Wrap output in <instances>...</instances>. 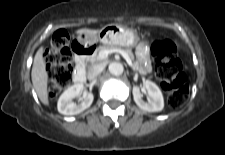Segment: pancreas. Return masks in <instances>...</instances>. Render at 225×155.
Segmentation results:
<instances>
[{
    "label": "pancreas",
    "mask_w": 225,
    "mask_h": 155,
    "mask_svg": "<svg viewBox=\"0 0 225 155\" xmlns=\"http://www.w3.org/2000/svg\"><path fill=\"white\" fill-rule=\"evenodd\" d=\"M110 49H121L123 51H125L129 57L131 58V60H134V54L132 52V50L128 47H121L120 45H114V44H111V45H103V46H99L95 52L88 58V61L91 62L92 64L94 63H98L100 62L101 59L99 57V53L103 50H110Z\"/></svg>",
    "instance_id": "cf45deb5"
}]
</instances>
